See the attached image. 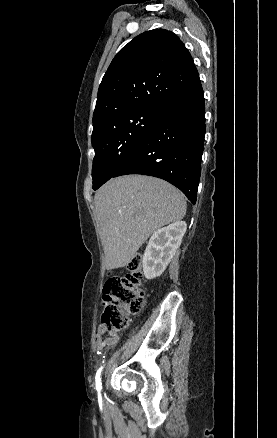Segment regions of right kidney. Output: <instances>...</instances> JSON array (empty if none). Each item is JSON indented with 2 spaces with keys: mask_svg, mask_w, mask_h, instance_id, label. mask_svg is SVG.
Wrapping results in <instances>:
<instances>
[{
  "mask_svg": "<svg viewBox=\"0 0 277 438\" xmlns=\"http://www.w3.org/2000/svg\"><path fill=\"white\" fill-rule=\"evenodd\" d=\"M186 230V222H174L152 234L142 260L146 280H153L163 274L176 250L181 246Z\"/></svg>",
  "mask_w": 277,
  "mask_h": 438,
  "instance_id": "right-kidney-1",
  "label": "right kidney"
}]
</instances>
